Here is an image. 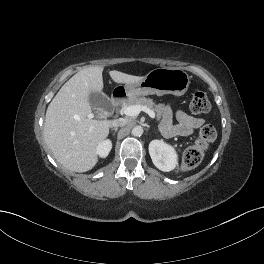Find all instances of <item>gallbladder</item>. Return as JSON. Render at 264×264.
<instances>
[{"instance_id": "gallbladder-1", "label": "gallbladder", "mask_w": 264, "mask_h": 264, "mask_svg": "<svg viewBox=\"0 0 264 264\" xmlns=\"http://www.w3.org/2000/svg\"><path fill=\"white\" fill-rule=\"evenodd\" d=\"M89 103L94 109H106L111 104L109 97L100 92H92L89 95Z\"/></svg>"}]
</instances>
